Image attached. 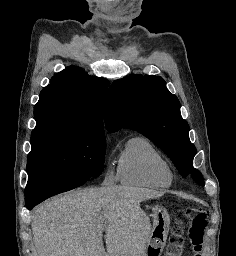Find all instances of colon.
<instances>
[{"instance_id": "5ec220e1", "label": "colon", "mask_w": 236, "mask_h": 256, "mask_svg": "<svg viewBox=\"0 0 236 256\" xmlns=\"http://www.w3.org/2000/svg\"><path fill=\"white\" fill-rule=\"evenodd\" d=\"M186 218L190 221L188 237L194 256H202L204 232L207 227L208 214L204 205H195L184 211ZM171 248L167 251V256H182L185 245L179 225L170 239Z\"/></svg>"}]
</instances>
